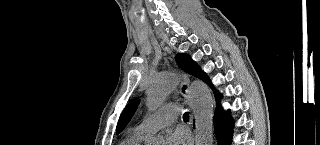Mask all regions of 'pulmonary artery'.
<instances>
[{
	"instance_id": "pulmonary-artery-1",
	"label": "pulmonary artery",
	"mask_w": 320,
	"mask_h": 145,
	"mask_svg": "<svg viewBox=\"0 0 320 145\" xmlns=\"http://www.w3.org/2000/svg\"><path fill=\"white\" fill-rule=\"evenodd\" d=\"M181 108L178 103H170L143 120L135 130L145 136H150L161 128L175 121Z\"/></svg>"
}]
</instances>
